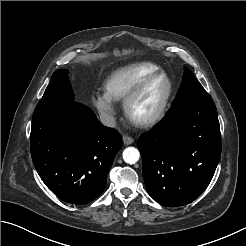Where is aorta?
<instances>
[{"mask_svg": "<svg viewBox=\"0 0 246 246\" xmlns=\"http://www.w3.org/2000/svg\"><path fill=\"white\" fill-rule=\"evenodd\" d=\"M122 156L126 163L135 164L140 158V153L135 147H127L124 149Z\"/></svg>", "mask_w": 246, "mask_h": 246, "instance_id": "1", "label": "aorta"}]
</instances>
